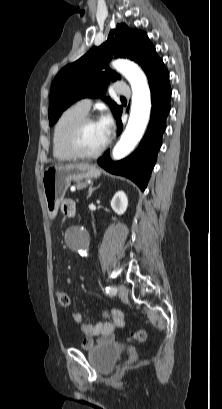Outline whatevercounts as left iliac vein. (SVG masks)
Masks as SVG:
<instances>
[{"label": "left iliac vein", "mask_w": 222, "mask_h": 409, "mask_svg": "<svg viewBox=\"0 0 222 409\" xmlns=\"http://www.w3.org/2000/svg\"><path fill=\"white\" fill-rule=\"evenodd\" d=\"M119 289V296L121 299H126L128 296V289L126 288V286L124 285H119L118 286Z\"/></svg>", "instance_id": "1"}]
</instances>
